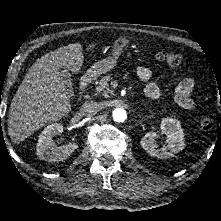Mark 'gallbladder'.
I'll use <instances>...</instances> for the list:
<instances>
[{"mask_svg": "<svg viewBox=\"0 0 221 221\" xmlns=\"http://www.w3.org/2000/svg\"><path fill=\"white\" fill-rule=\"evenodd\" d=\"M59 71H60L62 81L64 82L68 91L70 93H72L73 92V81L71 78V74L69 73V71L67 69H60Z\"/></svg>", "mask_w": 221, "mask_h": 221, "instance_id": "gallbladder-1", "label": "gallbladder"}]
</instances>
